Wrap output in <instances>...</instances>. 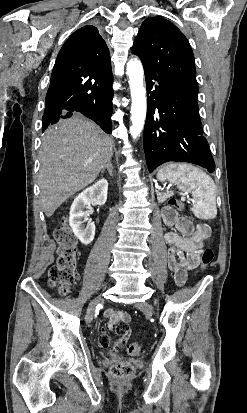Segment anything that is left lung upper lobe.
<instances>
[{
	"mask_svg": "<svg viewBox=\"0 0 247 413\" xmlns=\"http://www.w3.org/2000/svg\"><path fill=\"white\" fill-rule=\"evenodd\" d=\"M143 66L198 93L192 49L183 33L170 21L149 17L131 47Z\"/></svg>",
	"mask_w": 247,
	"mask_h": 413,
	"instance_id": "1",
	"label": "left lung upper lobe"
}]
</instances>
